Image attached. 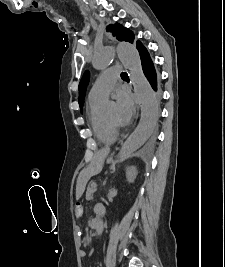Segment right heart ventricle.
Instances as JSON below:
<instances>
[{
	"label": "right heart ventricle",
	"mask_w": 225,
	"mask_h": 267,
	"mask_svg": "<svg viewBox=\"0 0 225 267\" xmlns=\"http://www.w3.org/2000/svg\"><path fill=\"white\" fill-rule=\"evenodd\" d=\"M102 100L89 99L88 118L91 130L97 140L104 144H110L116 139V130L112 129L105 118L99 113Z\"/></svg>",
	"instance_id": "right-heart-ventricle-1"
}]
</instances>
